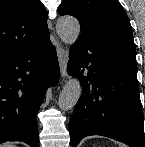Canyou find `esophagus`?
Returning <instances> with one entry per match:
<instances>
[{
	"mask_svg": "<svg viewBox=\"0 0 145 147\" xmlns=\"http://www.w3.org/2000/svg\"><path fill=\"white\" fill-rule=\"evenodd\" d=\"M57 55L60 65L61 76L65 78L67 75V63H68V52L66 48H64L60 44H57Z\"/></svg>",
	"mask_w": 145,
	"mask_h": 147,
	"instance_id": "obj_1",
	"label": "esophagus"
}]
</instances>
